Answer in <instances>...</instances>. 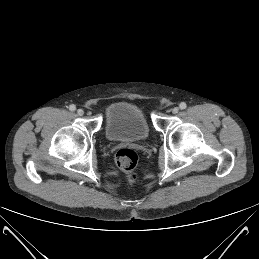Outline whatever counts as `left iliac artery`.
<instances>
[{
	"label": "left iliac artery",
	"instance_id": "obj_1",
	"mask_svg": "<svg viewBox=\"0 0 259 259\" xmlns=\"http://www.w3.org/2000/svg\"><path fill=\"white\" fill-rule=\"evenodd\" d=\"M180 109H185L187 107L186 103L185 102H181L180 105H179Z\"/></svg>",
	"mask_w": 259,
	"mask_h": 259
}]
</instances>
